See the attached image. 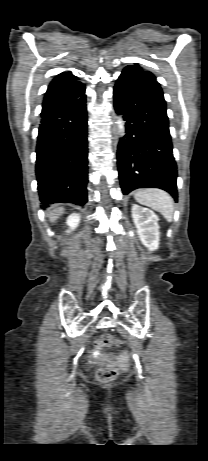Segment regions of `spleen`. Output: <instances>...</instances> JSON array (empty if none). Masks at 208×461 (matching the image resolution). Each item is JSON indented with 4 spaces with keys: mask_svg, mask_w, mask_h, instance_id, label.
Segmentation results:
<instances>
[{
    "mask_svg": "<svg viewBox=\"0 0 208 461\" xmlns=\"http://www.w3.org/2000/svg\"><path fill=\"white\" fill-rule=\"evenodd\" d=\"M134 198L138 203L160 212L168 222H172L174 201L164 190L156 188L138 190Z\"/></svg>",
    "mask_w": 208,
    "mask_h": 461,
    "instance_id": "1",
    "label": "spleen"
}]
</instances>
